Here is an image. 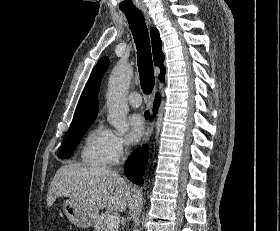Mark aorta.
<instances>
[{"instance_id": "obj_1", "label": "aorta", "mask_w": 280, "mask_h": 231, "mask_svg": "<svg viewBox=\"0 0 280 231\" xmlns=\"http://www.w3.org/2000/svg\"><path fill=\"white\" fill-rule=\"evenodd\" d=\"M132 76L133 68L131 64H124V66L117 64L113 68L108 82L106 94L108 108L107 121L117 129L120 135H123L129 129V123L127 121V114L129 112L127 94ZM135 215H138V213H135ZM138 223L140 221H138L137 217L136 225ZM133 231H138V229L135 227Z\"/></svg>"}]
</instances>
